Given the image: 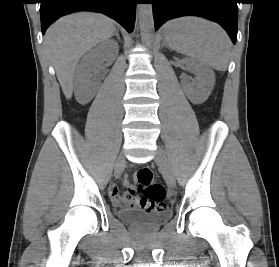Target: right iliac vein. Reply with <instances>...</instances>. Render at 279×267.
<instances>
[{"label":"right iliac vein","mask_w":279,"mask_h":267,"mask_svg":"<svg viewBox=\"0 0 279 267\" xmlns=\"http://www.w3.org/2000/svg\"><path fill=\"white\" fill-rule=\"evenodd\" d=\"M124 165H125V158L123 155H120L115 165V174L117 176L122 172Z\"/></svg>","instance_id":"right-iliac-vein-1"}]
</instances>
